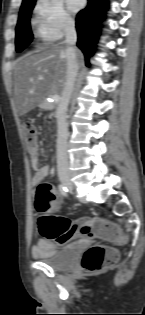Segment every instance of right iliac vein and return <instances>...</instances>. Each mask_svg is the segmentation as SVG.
<instances>
[{
  "instance_id": "right-iliac-vein-1",
  "label": "right iliac vein",
  "mask_w": 145,
  "mask_h": 315,
  "mask_svg": "<svg viewBox=\"0 0 145 315\" xmlns=\"http://www.w3.org/2000/svg\"><path fill=\"white\" fill-rule=\"evenodd\" d=\"M62 183H63V185H65L67 187H71V183L67 179H63Z\"/></svg>"
}]
</instances>
